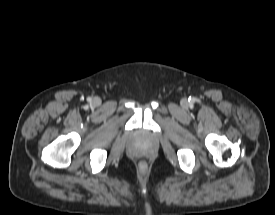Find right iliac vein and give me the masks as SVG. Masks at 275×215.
<instances>
[{
    "label": "right iliac vein",
    "mask_w": 275,
    "mask_h": 215,
    "mask_svg": "<svg viewBox=\"0 0 275 215\" xmlns=\"http://www.w3.org/2000/svg\"><path fill=\"white\" fill-rule=\"evenodd\" d=\"M92 103L95 105V106H99L101 104V100L99 98H94Z\"/></svg>",
    "instance_id": "right-iliac-vein-1"
}]
</instances>
